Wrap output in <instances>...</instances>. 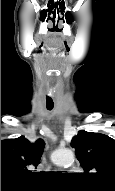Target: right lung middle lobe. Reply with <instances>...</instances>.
<instances>
[{
  "label": "right lung middle lobe",
  "mask_w": 115,
  "mask_h": 191,
  "mask_svg": "<svg viewBox=\"0 0 115 191\" xmlns=\"http://www.w3.org/2000/svg\"><path fill=\"white\" fill-rule=\"evenodd\" d=\"M2 190H3V191H4V190H8V188H3V189H1V191H2Z\"/></svg>",
  "instance_id": "right-lung-middle-lobe-1"
}]
</instances>
